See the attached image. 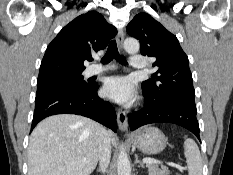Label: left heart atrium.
Listing matches in <instances>:
<instances>
[{
  "label": "left heart atrium",
  "mask_w": 233,
  "mask_h": 175,
  "mask_svg": "<svg viewBox=\"0 0 233 175\" xmlns=\"http://www.w3.org/2000/svg\"><path fill=\"white\" fill-rule=\"evenodd\" d=\"M106 97L122 104L131 102L135 98L133 82L128 77L109 78L103 87Z\"/></svg>",
  "instance_id": "39dd6f15"
}]
</instances>
